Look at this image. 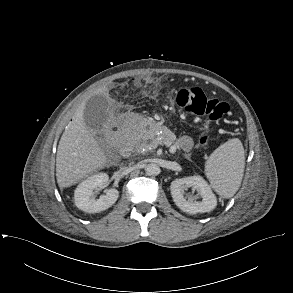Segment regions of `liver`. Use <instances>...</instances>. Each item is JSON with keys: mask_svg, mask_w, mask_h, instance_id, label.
<instances>
[{"mask_svg": "<svg viewBox=\"0 0 293 293\" xmlns=\"http://www.w3.org/2000/svg\"><path fill=\"white\" fill-rule=\"evenodd\" d=\"M96 94L108 96L102 88ZM84 106L74 114L59 141L56 179L60 188L70 187L80 179L105 166L106 156L84 122Z\"/></svg>", "mask_w": 293, "mask_h": 293, "instance_id": "1", "label": "liver"}]
</instances>
